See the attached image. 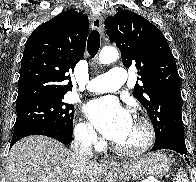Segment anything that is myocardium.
I'll return each instance as SVG.
<instances>
[{"instance_id":"obj_1","label":"myocardium","mask_w":196,"mask_h":182,"mask_svg":"<svg viewBox=\"0 0 196 182\" xmlns=\"http://www.w3.org/2000/svg\"><path fill=\"white\" fill-rule=\"evenodd\" d=\"M134 119L140 122L145 129L146 138L143 144H141L138 147L130 148V147H123L118 145L117 143H114V147L118 152L130 156H135V155H140L145 153L147 150H149L152 147L156 137L154 126L147 117L143 115H135Z\"/></svg>"}]
</instances>
